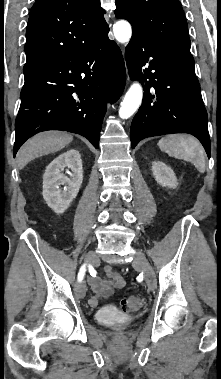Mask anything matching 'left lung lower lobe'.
<instances>
[{"label":"left lung lower lobe","mask_w":221,"mask_h":379,"mask_svg":"<svg viewBox=\"0 0 221 379\" xmlns=\"http://www.w3.org/2000/svg\"><path fill=\"white\" fill-rule=\"evenodd\" d=\"M125 56L131 79L141 81L144 89L142 105L131 124L132 148L147 137L189 133L200 140L210 157L207 112L193 57L135 32Z\"/></svg>","instance_id":"left-lung-lower-lobe-1"}]
</instances>
